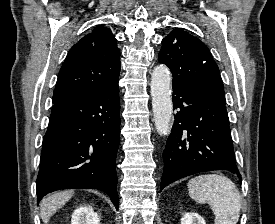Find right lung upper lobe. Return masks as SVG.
<instances>
[{"instance_id": "obj_1", "label": "right lung upper lobe", "mask_w": 275, "mask_h": 224, "mask_svg": "<svg viewBox=\"0 0 275 224\" xmlns=\"http://www.w3.org/2000/svg\"><path fill=\"white\" fill-rule=\"evenodd\" d=\"M120 51L111 30L97 26L69 51L53 93L54 104L83 98L118 84Z\"/></svg>"}]
</instances>
